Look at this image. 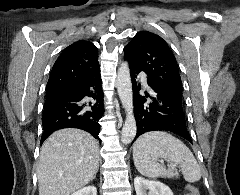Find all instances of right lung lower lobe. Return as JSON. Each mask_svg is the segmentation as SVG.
<instances>
[{"instance_id": "obj_1", "label": "right lung lower lobe", "mask_w": 240, "mask_h": 195, "mask_svg": "<svg viewBox=\"0 0 240 195\" xmlns=\"http://www.w3.org/2000/svg\"><path fill=\"white\" fill-rule=\"evenodd\" d=\"M101 83L99 75L77 85L46 90L41 144L51 133L63 128L85 130L100 141V120L104 115Z\"/></svg>"}]
</instances>
